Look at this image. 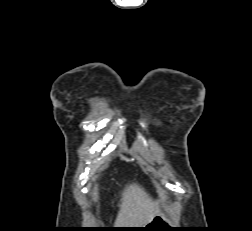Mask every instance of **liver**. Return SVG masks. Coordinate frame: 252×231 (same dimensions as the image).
<instances>
[{
	"label": "liver",
	"mask_w": 252,
	"mask_h": 231,
	"mask_svg": "<svg viewBox=\"0 0 252 231\" xmlns=\"http://www.w3.org/2000/svg\"><path fill=\"white\" fill-rule=\"evenodd\" d=\"M116 228H141L159 214V202L154 201L137 184L126 186L122 193Z\"/></svg>",
	"instance_id": "1"
}]
</instances>
